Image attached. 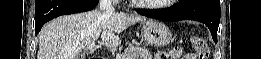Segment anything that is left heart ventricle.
Segmentation results:
<instances>
[{
	"mask_svg": "<svg viewBox=\"0 0 261 59\" xmlns=\"http://www.w3.org/2000/svg\"><path fill=\"white\" fill-rule=\"evenodd\" d=\"M144 2V1H143ZM146 2H152V3H162L166 2L165 0H156V1H146Z\"/></svg>",
	"mask_w": 261,
	"mask_h": 59,
	"instance_id": "1",
	"label": "left heart ventricle"
}]
</instances>
